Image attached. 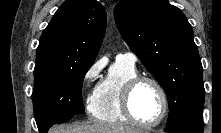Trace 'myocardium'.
Returning <instances> with one entry per match:
<instances>
[{"label":"myocardium","mask_w":221,"mask_h":133,"mask_svg":"<svg viewBox=\"0 0 221 133\" xmlns=\"http://www.w3.org/2000/svg\"><path fill=\"white\" fill-rule=\"evenodd\" d=\"M143 82H148L153 84L156 89L158 90L161 101H162V110L160 113V116L152 122H143L139 120L133 113L132 110V96L137 88V86ZM121 106H122V111L125 115V117L133 124L139 126V127H144V128H151L159 125L166 117L168 113V108H169V102H168V96L167 93L162 86V84L155 78L150 77V76H143V75H137L131 79H129L123 86L122 93H121Z\"/></svg>","instance_id":"f54148a6"}]
</instances>
